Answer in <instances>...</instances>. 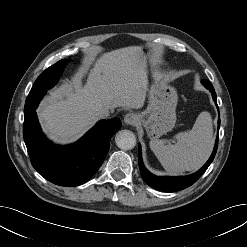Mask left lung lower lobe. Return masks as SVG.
Masks as SVG:
<instances>
[{"instance_id": "0a47b994", "label": "left lung lower lobe", "mask_w": 247, "mask_h": 247, "mask_svg": "<svg viewBox=\"0 0 247 247\" xmlns=\"http://www.w3.org/2000/svg\"><path fill=\"white\" fill-rule=\"evenodd\" d=\"M202 83L204 86L210 90L213 100L215 101L217 105V100H216V93L215 90L212 86V84L208 80H202ZM218 107V106H217ZM220 126V119L218 120V128ZM217 146H218V136L216 138V143L214 146V150L212 152V155L210 156L209 160L206 162V164L196 173L189 175V176H183V177H158L150 172L147 171L145 168L143 161H142V155H141V149L139 145V167H140V173L143 178V180L152 188L159 190V191H164V192H174V191H179L183 190L189 186H191L193 183H195L202 175L203 173L207 170L211 162L213 161L216 151H217Z\"/></svg>"}]
</instances>
